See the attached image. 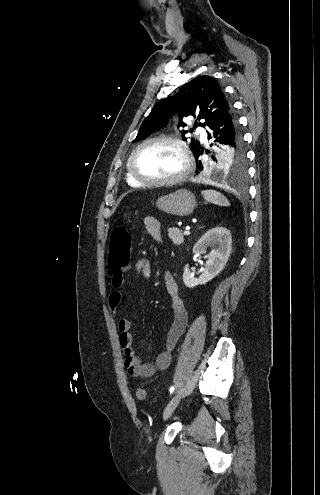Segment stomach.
<instances>
[{
    "label": "stomach",
    "instance_id": "stomach-1",
    "mask_svg": "<svg viewBox=\"0 0 320 495\" xmlns=\"http://www.w3.org/2000/svg\"><path fill=\"white\" fill-rule=\"evenodd\" d=\"M195 204V196L186 189H180L172 194L162 196L156 201L158 209L176 216L190 215L194 210Z\"/></svg>",
    "mask_w": 320,
    "mask_h": 495
}]
</instances>
